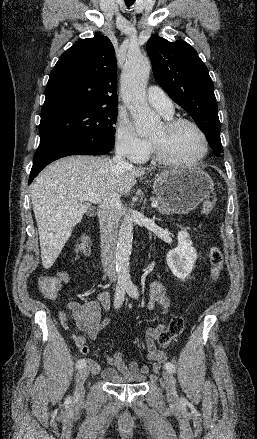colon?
Listing matches in <instances>:
<instances>
[{
	"label": "colon",
	"mask_w": 257,
	"mask_h": 439,
	"mask_svg": "<svg viewBox=\"0 0 257 439\" xmlns=\"http://www.w3.org/2000/svg\"><path fill=\"white\" fill-rule=\"evenodd\" d=\"M217 197L215 195H209L202 203V212L209 214L215 207ZM90 250L89 238L84 236L81 242L77 245V252L87 254ZM209 262L211 265V278L216 281L222 271L223 254L221 249L212 245L209 249ZM67 274L61 272L56 276L43 277L39 280L40 290L46 297H52L57 294L62 284L67 280ZM185 328V322L182 317H174L168 327L163 330L159 337L158 342L161 347L166 346L172 339L179 337Z\"/></svg>",
	"instance_id": "1"
}]
</instances>
